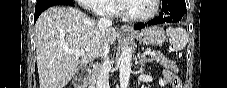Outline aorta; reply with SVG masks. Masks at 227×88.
I'll use <instances>...</instances> for the list:
<instances>
[{
    "mask_svg": "<svg viewBox=\"0 0 227 88\" xmlns=\"http://www.w3.org/2000/svg\"><path fill=\"white\" fill-rule=\"evenodd\" d=\"M132 61V48L130 46L124 47L120 56L119 78L120 87L127 88L129 85Z\"/></svg>",
    "mask_w": 227,
    "mask_h": 88,
    "instance_id": "762f6f07",
    "label": "aorta"
}]
</instances>
